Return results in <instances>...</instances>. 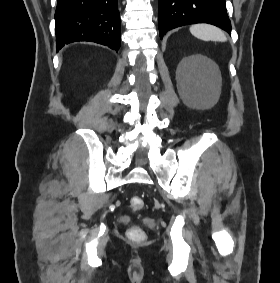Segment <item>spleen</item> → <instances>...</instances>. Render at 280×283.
Masks as SVG:
<instances>
[{"label":"spleen","instance_id":"spleen-1","mask_svg":"<svg viewBox=\"0 0 280 283\" xmlns=\"http://www.w3.org/2000/svg\"><path fill=\"white\" fill-rule=\"evenodd\" d=\"M193 36L204 41L226 42L227 37L224 32L209 24H195L190 27Z\"/></svg>","mask_w":280,"mask_h":283}]
</instances>
